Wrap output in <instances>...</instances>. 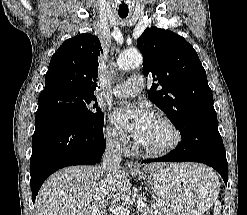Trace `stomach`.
<instances>
[{"instance_id": "1", "label": "stomach", "mask_w": 247, "mask_h": 215, "mask_svg": "<svg viewBox=\"0 0 247 215\" xmlns=\"http://www.w3.org/2000/svg\"><path fill=\"white\" fill-rule=\"evenodd\" d=\"M197 167L195 173H190L183 164H166L144 178L162 214L202 215L215 200L218 178L208 168Z\"/></svg>"}]
</instances>
